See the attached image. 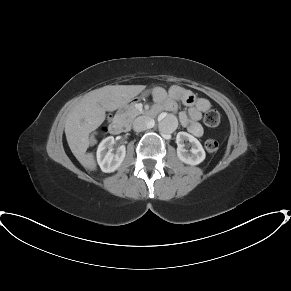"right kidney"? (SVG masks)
I'll return each instance as SVG.
<instances>
[{
	"mask_svg": "<svg viewBox=\"0 0 291 291\" xmlns=\"http://www.w3.org/2000/svg\"><path fill=\"white\" fill-rule=\"evenodd\" d=\"M113 143L114 137L109 136L100 142L97 149V162L101 170L105 173H111L117 170L126 155V148L124 145L120 146L116 153H113Z\"/></svg>",
	"mask_w": 291,
	"mask_h": 291,
	"instance_id": "ca27d5eb",
	"label": "right kidney"
}]
</instances>
